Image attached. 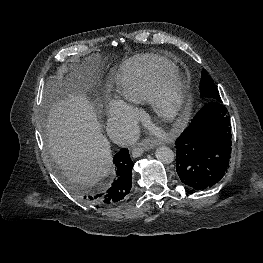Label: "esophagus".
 I'll return each mask as SVG.
<instances>
[{
  "label": "esophagus",
  "mask_w": 263,
  "mask_h": 263,
  "mask_svg": "<svg viewBox=\"0 0 263 263\" xmlns=\"http://www.w3.org/2000/svg\"><path fill=\"white\" fill-rule=\"evenodd\" d=\"M155 147L154 144H149V143H146V144H142V143H138L137 145H135L133 148H132V156L134 158L136 157H140L144 151L146 149H153Z\"/></svg>",
  "instance_id": "esophagus-1"
}]
</instances>
